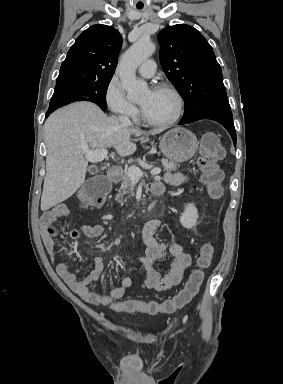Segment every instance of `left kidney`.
Returning <instances> with one entry per match:
<instances>
[{
  "label": "left kidney",
  "mask_w": 283,
  "mask_h": 384,
  "mask_svg": "<svg viewBox=\"0 0 283 384\" xmlns=\"http://www.w3.org/2000/svg\"><path fill=\"white\" fill-rule=\"evenodd\" d=\"M198 218L197 208H195L194 204H187L183 214L180 216V224H182L183 228L191 230V228L196 226Z\"/></svg>",
  "instance_id": "1"
}]
</instances>
